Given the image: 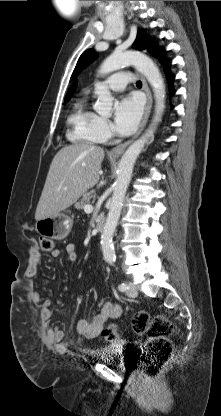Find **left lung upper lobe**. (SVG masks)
<instances>
[{
    "label": "left lung upper lobe",
    "instance_id": "left-lung-upper-lobe-1",
    "mask_svg": "<svg viewBox=\"0 0 221 416\" xmlns=\"http://www.w3.org/2000/svg\"><path fill=\"white\" fill-rule=\"evenodd\" d=\"M133 46L137 50H144V49H152V42L150 39L146 36L144 31L139 30L137 34V38L135 42L133 43ZM95 58V51L93 49H89L85 51L79 58L77 65L74 69V72L72 74V77L87 63H89L91 60Z\"/></svg>",
    "mask_w": 221,
    "mask_h": 416
}]
</instances>
